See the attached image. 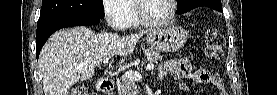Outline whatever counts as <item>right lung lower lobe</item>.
<instances>
[{"mask_svg":"<svg viewBox=\"0 0 277 95\" xmlns=\"http://www.w3.org/2000/svg\"><path fill=\"white\" fill-rule=\"evenodd\" d=\"M100 22V19H86V20H61V21H52L45 24L37 25V42H36V56L38 58L41 48L44 43L47 41L49 36L54 33L56 30L73 27V26H89L95 25Z\"/></svg>","mask_w":277,"mask_h":95,"instance_id":"98d812e1","label":"right lung lower lobe"}]
</instances>
